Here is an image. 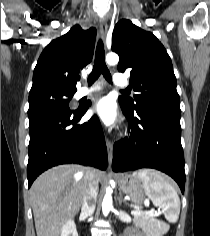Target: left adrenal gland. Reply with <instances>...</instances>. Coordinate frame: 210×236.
I'll list each match as a JSON object with an SVG mask.
<instances>
[{
	"label": "left adrenal gland",
	"instance_id": "a2214340",
	"mask_svg": "<svg viewBox=\"0 0 210 236\" xmlns=\"http://www.w3.org/2000/svg\"><path fill=\"white\" fill-rule=\"evenodd\" d=\"M118 201H119L120 204H122V202H125V201L122 199V193H121V192H120V194H119Z\"/></svg>",
	"mask_w": 210,
	"mask_h": 236
}]
</instances>
